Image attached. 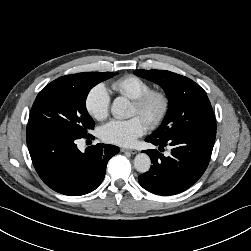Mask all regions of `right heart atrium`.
I'll return each mask as SVG.
<instances>
[{
    "label": "right heart atrium",
    "instance_id": "1",
    "mask_svg": "<svg viewBox=\"0 0 251 251\" xmlns=\"http://www.w3.org/2000/svg\"><path fill=\"white\" fill-rule=\"evenodd\" d=\"M85 108L96 120H103L108 116L110 95L104 85L99 84L90 89L85 99Z\"/></svg>",
    "mask_w": 251,
    "mask_h": 251
}]
</instances>
